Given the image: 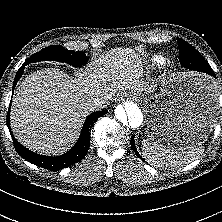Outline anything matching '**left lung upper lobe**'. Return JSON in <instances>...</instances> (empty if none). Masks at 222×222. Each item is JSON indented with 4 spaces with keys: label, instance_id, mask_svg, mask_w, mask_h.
<instances>
[{
    "label": "left lung upper lobe",
    "instance_id": "left-lung-upper-lobe-1",
    "mask_svg": "<svg viewBox=\"0 0 222 222\" xmlns=\"http://www.w3.org/2000/svg\"><path fill=\"white\" fill-rule=\"evenodd\" d=\"M178 46H179V60L181 65L185 61L191 62L196 66L201 67L202 72L213 71L208 62L201 56V54L193 48L190 44L184 41L181 38H178Z\"/></svg>",
    "mask_w": 222,
    "mask_h": 222
}]
</instances>
